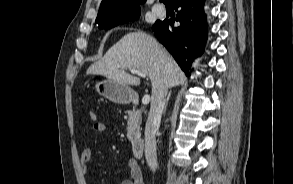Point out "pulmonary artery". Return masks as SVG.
Wrapping results in <instances>:
<instances>
[{
	"label": "pulmonary artery",
	"instance_id": "1",
	"mask_svg": "<svg viewBox=\"0 0 293 184\" xmlns=\"http://www.w3.org/2000/svg\"><path fill=\"white\" fill-rule=\"evenodd\" d=\"M153 12L158 15V16H164L165 15V8L160 5V4H156L153 6L152 8Z\"/></svg>",
	"mask_w": 293,
	"mask_h": 184
}]
</instances>
